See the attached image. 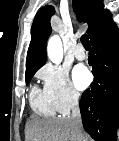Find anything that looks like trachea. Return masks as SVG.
I'll return each mask as SVG.
<instances>
[{"mask_svg":"<svg viewBox=\"0 0 119 141\" xmlns=\"http://www.w3.org/2000/svg\"><path fill=\"white\" fill-rule=\"evenodd\" d=\"M81 43L83 44L85 49H90L91 45L86 34L81 37Z\"/></svg>","mask_w":119,"mask_h":141,"instance_id":"trachea-1","label":"trachea"}]
</instances>
